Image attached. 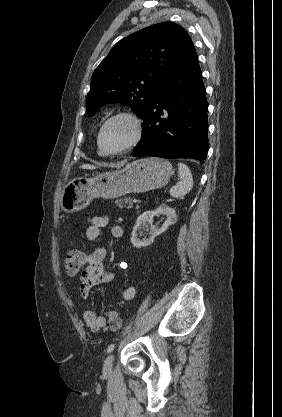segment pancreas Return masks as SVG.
Returning a JSON list of instances; mask_svg holds the SVG:
<instances>
[{"instance_id": "cf45deb5", "label": "pancreas", "mask_w": 282, "mask_h": 417, "mask_svg": "<svg viewBox=\"0 0 282 417\" xmlns=\"http://www.w3.org/2000/svg\"><path fill=\"white\" fill-rule=\"evenodd\" d=\"M131 200H132L131 196H125V198H117L115 202L117 206H120V209H124V206H126V204H128V206H126V209H132Z\"/></svg>"}]
</instances>
